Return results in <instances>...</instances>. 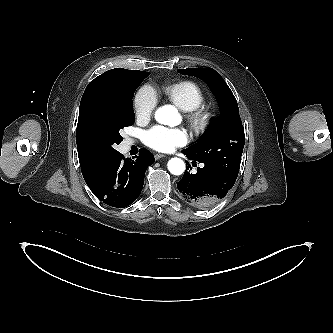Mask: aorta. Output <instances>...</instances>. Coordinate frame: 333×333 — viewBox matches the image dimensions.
Wrapping results in <instances>:
<instances>
[{
  "mask_svg": "<svg viewBox=\"0 0 333 333\" xmlns=\"http://www.w3.org/2000/svg\"><path fill=\"white\" fill-rule=\"evenodd\" d=\"M155 119L160 124L176 126L181 117L178 110L172 105L159 107L155 112ZM168 170L173 175H181L185 171V163L180 158H172L168 161Z\"/></svg>",
  "mask_w": 333,
  "mask_h": 333,
  "instance_id": "aorta-1",
  "label": "aorta"
}]
</instances>
